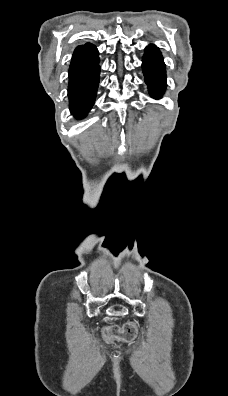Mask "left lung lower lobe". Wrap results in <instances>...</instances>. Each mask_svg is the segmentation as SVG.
<instances>
[{
    "label": "left lung lower lobe",
    "instance_id": "obj_1",
    "mask_svg": "<svg viewBox=\"0 0 228 396\" xmlns=\"http://www.w3.org/2000/svg\"><path fill=\"white\" fill-rule=\"evenodd\" d=\"M143 73L149 93L158 99L166 89V72L163 57L155 45H149L143 56Z\"/></svg>",
    "mask_w": 228,
    "mask_h": 396
}]
</instances>
